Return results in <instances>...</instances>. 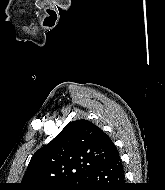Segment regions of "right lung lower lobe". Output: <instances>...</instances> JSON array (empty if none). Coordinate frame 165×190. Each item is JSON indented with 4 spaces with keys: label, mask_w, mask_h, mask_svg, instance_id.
Here are the masks:
<instances>
[{
    "label": "right lung lower lobe",
    "mask_w": 165,
    "mask_h": 190,
    "mask_svg": "<svg viewBox=\"0 0 165 190\" xmlns=\"http://www.w3.org/2000/svg\"><path fill=\"white\" fill-rule=\"evenodd\" d=\"M79 190H126L119 153L86 171Z\"/></svg>",
    "instance_id": "obj_1"
}]
</instances>
